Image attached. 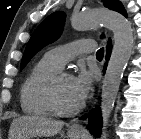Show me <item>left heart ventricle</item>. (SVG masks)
<instances>
[{"mask_svg":"<svg viewBox=\"0 0 141 139\" xmlns=\"http://www.w3.org/2000/svg\"><path fill=\"white\" fill-rule=\"evenodd\" d=\"M56 99L62 109H70L80 103L74 90L73 77L66 76L59 80L56 89Z\"/></svg>","mask_w":141,"mask_h":139,"instance_id":"b2bd125f","label":"left heart ventricle"}]
</instances>
